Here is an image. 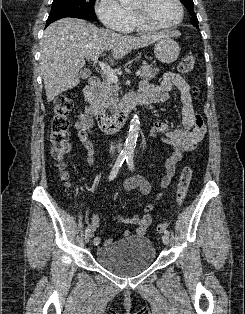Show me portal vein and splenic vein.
Segmentation results:
<instances>
[{"label": "portal vein and splenic vein", "instance_id": "18ae733b", "mask_svg": "<svg viewBox=\"0 0 245 314\" xmlns=\"http://www.w3.org/2000/svg\"><path fill=\"white\" fill-rule=\"evenodd\" d=\"M99 55L100 54L93 55L91 57L92 61H94L96 63H99L100 68L105 73V75L107 76L109 81H111L113 83H117L119 80H118L117 75L115 74V71L109 65H107L106 63L98 62ZM140 74H141L140 71L136 72V76H139Z\"/></svg>", "mask_w": 245, "mask_h": 314}]
</instances>
